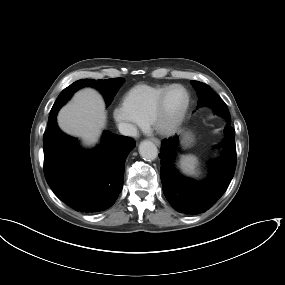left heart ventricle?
<instances>
[{
    "label": "left heart ventricle",
    "mask_w": 285,
    "mask_h": 285,
    "mask_svg": "<svg viewBox=\"0 0 285 285\" xmlns=\"http://www.w3.org/2000/svg\"><path fill=\"white\" fill-rule=\"evenodd\" d=\"M186 102V94L180 88H174L170 91L167 101L163 121L165 123L173 120L182 110Z\"/></svg>",
    "instance_id": "obj_1"
}]
</instances>
